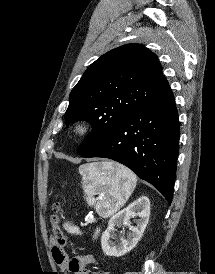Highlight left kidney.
<instances>
[{"label":"left kidney","mask_w":215,"mask_h":274,"mask_svg":"<svg viewBox=\"0 0 215 274\" xmlns=\"http://www.w3.org/2000/svg\"><path fill=\"white\" fill-rule=\"evenodd\" d=\"M149 215L150 201L146 196L140 197L128 207L113 215L109 220L108 228L103 232L101 237V246L104 254L121 257L131 251L141 239L148 224ZM136 216L139 217L137 225L132 226L130 218ZM121 225L128 226L130 233L127 234L126 239L120 236V241L116 245L111 239L117 236L115 234V227H120Z\"/></svg>","instance_id":"obj_1"}]
</instances>
